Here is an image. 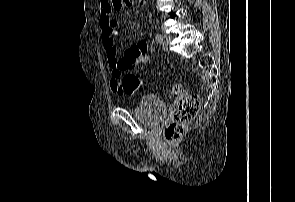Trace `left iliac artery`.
Here are the masks:
<instances>
[{
	"label": "left iliac artery",
	"mask_w": 295,
	"mask_h": 202,
	"mask_svg": "<svg viewBox=\"0 0 295 202\" xmlns=\"http://www.w3.org/2000/svg\"><path fill=\"white\" fill-rule=\"evenodd\" d=\"M155 38H156V41H158V42L162 41V36L158 33L155 34Z\"/></svg>",
	"instance_id": "obj_1"
}]
</instances>
